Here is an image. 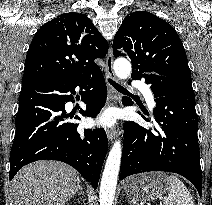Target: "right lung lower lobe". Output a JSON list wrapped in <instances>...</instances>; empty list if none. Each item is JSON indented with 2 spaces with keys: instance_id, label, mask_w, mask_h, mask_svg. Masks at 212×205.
<instances>
[{
  "instance_id": "98d812e1",
  "label": "right lung lower lobe",
  "mask_w": 212,
  "mask_h": 205,
  "mask_svg": "<svg viewBox=\"0 0 212 205\" xmlns=\"http://www.w3.org/2000/svg\"><path fill=\"white\" fill-rule=\"evenodd\" d=\"M76 88H80L79 93L86 104V110L80 113L96 117L106 102V84L101 71L65 80H43L22 87L10 153V180L31 162L59 160L74 167L94 189L97 188L108 140L104 129H86L78 133V124L63 122L69 116L65 103L74 102L73 96L67 93L75 94ZM75 119L80 120L78 116Z\"/></svg>"
}]
</instances>
